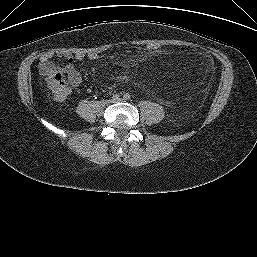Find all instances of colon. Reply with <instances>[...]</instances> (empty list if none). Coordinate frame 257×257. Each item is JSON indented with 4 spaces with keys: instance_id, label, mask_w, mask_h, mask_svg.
Instances as JSON below:
<instances>
[{
    "instance_id": "1",
    "label": "colon",
    "mask_w": 257,
    "mask_h": 257,
    "mask_svg": "<svg viewBox=\"0 0 257 257\" xmlns=\"http://www.w3.org/2000/svg\"><path fill=\"white\" fill-rule=\"evenodd\" d=\"M146 49L151 53L159 52L161 47L157 44H149ZM47 85L53 95L58 99H64L70 92L65 75L60 71H50L46 75Z\"/></svg>"
}]
</instances>
